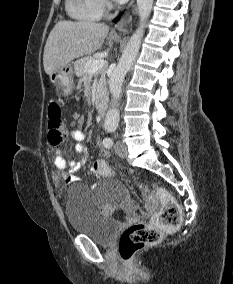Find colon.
Returning a JSON list of instances; mask_svg holds the SVG:
<instances>
[{"label": "colon", "instance_id": "5ec220e1", "mask_svg": "<svg viewBox=\"0 0 233 284\" xmlns=\"http://www.w3.org/2000/svg\"><path fill=\"white\" fill-rule=\"evenodd\" d=\"M48 142L59 146L66 137V128L62 119V109L57 102L48 107L47 122ZM92 168L102 176L113 174L109 166L102 160H96ZM148 208L154 204L155 196L161 202V209L152 224L137 223L125 229L119 240V254L125 263L133 261L135 255L148 245L158 243L165 232L175 229L181 221V209L173 196L162 187L156 188V195L149 194L142 186H138Z\"/></svg>", "mask_w": 233, "mask_h": 284}]
</instances>
